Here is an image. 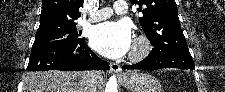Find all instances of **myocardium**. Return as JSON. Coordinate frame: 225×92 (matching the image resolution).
I'll use <instances>...</instances> for the list:
<instances>
[{"label": "myocardium", "instance_id": "obj_1", "mask_svg": "<svg viewBox=\"0 0 225 92\" xmlns=\"http://www.w3.org/2000/svg\"><path fill=\"white\" fill-rule=\"evenodd\" d=\"M149 52H150V44L146 39V37L138 36L135 39L129 59L132 62H139L143 60L149 54Z\"/></svg>", "mask_w": 225, "mask_h": 92}]
</instances>
